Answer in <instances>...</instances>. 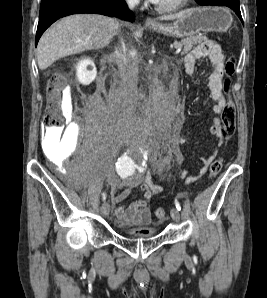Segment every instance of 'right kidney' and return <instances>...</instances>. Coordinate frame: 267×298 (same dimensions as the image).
Instances as JSON below:
<instances>
[{
    "label": "right kidney",
    "mask_w": 267,
    "mask_h": 298,
    "mask_svg": "<svg viewBox=\"0 0 267 298\" xmlns=\"http://www.w3.org/2000/svg\"><path fill=\"white\" fill-rule=\"evenodd\" d=\"M97 75V70L93 61L89 58L78 62L76 66V76L78 81L83 85L92 83Z\"/></svg>",
    "instance_id": "1"
}]
</instances>
